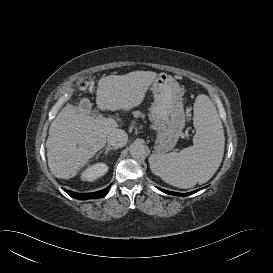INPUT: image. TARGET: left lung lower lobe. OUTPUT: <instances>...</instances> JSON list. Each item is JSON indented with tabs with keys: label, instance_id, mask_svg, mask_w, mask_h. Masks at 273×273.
I'll use <instances>...</instances> for the list:
<instances>
[{
	"label": "left lung lower lobe",
	"instance_id": "0a47b994",
	"mask_svg": "<svg viewBox=\"0 0 273 273\" xmlns=\"http://www.w3.org/2000/svg\"><path fill=\"white\" fill-rule=\"evenodd\" d=\"M158 189L161 190V191L164 192V193L171 194V195H175V196H182V197L188 196V195H190V194H193V193L199 191V190H196V191H193V192H191V193H177V192H171V191L163 190V189H160V188H158Z\"/></svg>",
	"mask_w": 273,
	"mask_h": 273
}]
</instances>
